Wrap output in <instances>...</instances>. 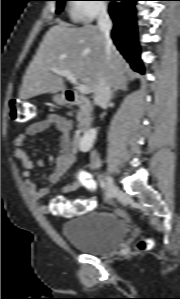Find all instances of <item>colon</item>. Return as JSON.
I'll return each mask as SVG.
<instances>
[{
    "instance_id": "1",
    "label": "colon",
    "mask_w": 180,
    "mask_h": 299,
    "mask_svg": "<svg viewBox=\"0 0 180 299\" xmlns=\"http://www.w3.org/2000/svg\"><path fill=\"white\" fill-rule=\"evenodd\" d=\"M37 107L27 101L12 99L9 102L10 119L16 124H26L38 117ZM85 184L92 188L93 183L89 178L85 179ZM93 208V203L89 200L78 199L65 201L63 198L56 197L50 203V212L54 215L74 216L81 215ZM151 246V241L142 239L137 244V249L144 251Z\"/></svg>"
}]
</instances>
